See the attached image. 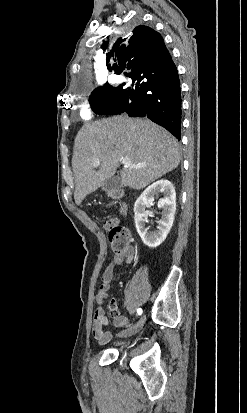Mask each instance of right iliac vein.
Segmentation results:
<instances>
[{
    "mask_svg": "<svg viewBox=\"0 0 247 413\" xmlns=\"http://www.w3.org/2000/svg\"><path fill=\"white\" fill-rule=\"evenodd\" d=\"M145 321H146L145 316H142L139 319V321L135 325H133L131 328L121 331L120 336L127 338V337H131L135 335L143 327Z\"/></svg>",
    "mask_w": 247,
    "mask_h": 413,
    "instance_id": "obj_1",
    "label": "right iliac vein"
}]
</instances>
